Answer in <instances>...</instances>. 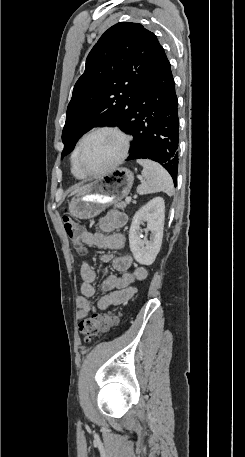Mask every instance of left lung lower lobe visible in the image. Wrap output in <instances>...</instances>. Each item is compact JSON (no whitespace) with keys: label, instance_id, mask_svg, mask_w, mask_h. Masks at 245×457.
Listing matches in <instances>:
<instances>
[{"label":"left lung lower lobe","instance_id":"0a47b994","mask_svg":"<svg viewBox=\"0 0 245 457\" xmlns=\"http://www.w3.org/2000/svg\"><path fill=\"white\" fill-rule=\"evenodd\" d=\"M144 95L120 129L134 137L127 160L151 159L177 183L179 162L178 99L171 65L163 47L143 86Z\"/></svg>","mask_w":245,"mask_h":457}]
</instances>
